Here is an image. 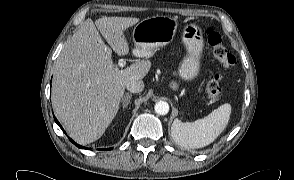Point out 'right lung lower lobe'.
<instances>
[{"label": "right lung lower lobe", "mask_w": 294, "mask_h": 180, "mask_svg": "<svg viewBox=\"0 0 294 180\" xmlns=\"http://www.w3.org/2000/svg\"><path fill=\"white\" fill-rule=\"evenodd\" d=\"M54 119H55V122L59 125V127L62 129V131L64 132V130H63V128H62V126L60 125V123L57 121V119L54 117ZM70 139V138H69ZM70 141L74 144V145H76L77 147H79V148H83V149H88V148H86V147H83V146H80V145H78V144H76L73 140H71L70 139Z\"/></svg>", "instance_id": "1"}]
</instances>
